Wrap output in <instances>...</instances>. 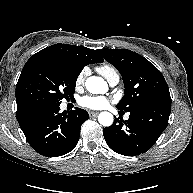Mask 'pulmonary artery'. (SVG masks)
Wrapping results in <instances>:
<instances>
[{
  "label": "pulmonary artery",
  "mask_w": 193,
  "mask_h": 193,
  "mask_svg": "<svg viewBox=\"0 0 193 193\" xmlns=\"http://www.w3.org/2000/svg\"><path fill=\"white\" fill-rule=\"evenodd\" d=\"M119 79H120L119 75H118V74H114V75H112V76L108 79V83H109L110 86H115V85L118 84Z\"/></svg>",
  "instance_id": "pulmonary-artery-1"
}]
</instances>
